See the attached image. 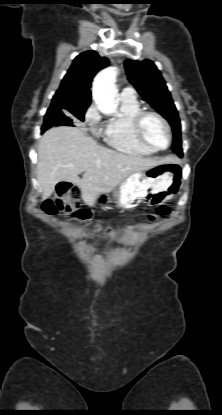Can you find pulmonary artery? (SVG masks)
Here are the masks:
<instances>
[{
  "instance_id": "e3ab8cb5",
  "label": "pulmonary artery",
  "mask_w": 222,
  "mask_h": 415,
  "mask_svg": "<svg viewBox=\"0 0 222 415\" xmlns=\"http://www.w3.org/2000/svg\"><path fill=\"white\" fill-rule=\"evenodd\" d=\"M120 97L124 99H133L135 98V91L131 87H124L120 93Z\"/></svg>"
}]
</instances>
